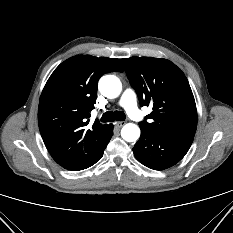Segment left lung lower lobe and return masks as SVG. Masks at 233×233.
<instances>
[{
	"label": "left lung lower lobe",
	"mask_w": 233,
	"mask_h": 233,
	"mask_svg": "<svg viewBox=\"0 0 233 233\" xmlns=\"http://www.w3.org/2000/svg\"><path fill=\"white\" fill-rule=\"evenodd\" d=\"M141 128V127H140ZM193 139L163 135L141 128V136L133 148L139 162L154 170H163L179 162Z\"/></svg>",
	"instance_id": "1"
}]
</instances>
